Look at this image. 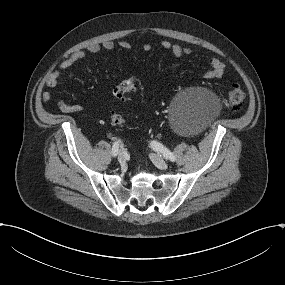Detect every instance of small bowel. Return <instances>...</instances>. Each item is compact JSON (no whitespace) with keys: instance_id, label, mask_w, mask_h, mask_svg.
<instances>
[{"instance_id":"c3829d8e","label":"small bowel","mask_w":285,"mask_h":285,"mask_svg":"<svg viewBox=\"0 0 285 285\" xmlns=\"http://www.w3.org/2000/svg\"><path fill=\"white\" fill-rule=\"evenodd\" d=\"M116 46H119L122 50L129 52L131 50V45L129 42L121 40L118 43H115L111 40L103 41L102 43H92L88 45L84 50L76 51L68 56H66L59 64L58 68L52 71L47 80L46 85L49 88H56L61 77L62 71L69 69L80 61H82L87 53H99L101 50L112 51L115 49ZM161 47L170 53H172L177 58H184L189 57L193 54V50L188 47H183L177 43H172L169 41H163L161 43ZM143 50L148 52L151 50L150 44H144ZM225 72V64L222 60L217 57H213L210 60V66L204 77L206 79H217L223 76ZM42 99L44 102H52L54 101V97L49 92H44L42 94ZM57 107L60 111L64 113H75L80 112L83 110V107L79 104H70L63 99H56L55 100Z\"/></svg>"}]
</instances>
